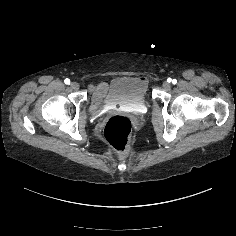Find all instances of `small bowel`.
Here are the masks:
<instances>
[{"label":"small bowel","instance_id":"c3829d8e","mask_svg":"<svg viewBox=\"0 0 236 236\" xmlns=\"http://www.w3.org/2000/svg\"><path fill=\"white\" fill-rule=\"evenodd\" d=\"M97 89H100V90H102V92H103L104 84H100V85L97 87Z\"/></svg>","mask_w":236,"mask_h":236}]
</instances>
